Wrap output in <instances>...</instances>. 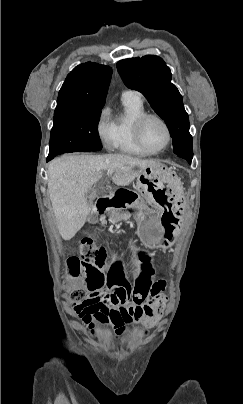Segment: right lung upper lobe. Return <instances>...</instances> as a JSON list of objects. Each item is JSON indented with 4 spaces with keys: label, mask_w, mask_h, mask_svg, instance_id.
Here are the masks:
<instances>
[{
    "label": "right lung upper lobe",
    "mask_w": 243,
    "mask_h": 404,
    "mask_svg": "<svg viewBox=\"0 0 243 404\" xmlns=\"http://www.w3.org/2000/svg\"><path fill=\"white\" fill-rule=\"evenodd\" d=\"M112 75V68L97 63L75 67L63 83L56 109L69 107H103Z\"/></svg>",
    "instance_id": "obj_1"
}]
</instances>
